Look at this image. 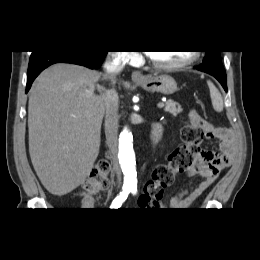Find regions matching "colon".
I'll return each mask as SVG.
<instances>
[{"label": "colon", "instance_id": "5ec220e1", "mask_svg": "<svg viewBox=\"0 0 260 260\" xmlns=\"http://www.w3.org/2000/svg\"><path fill=\"white\" fill-rule=\"evenodd\" d=\"M204 138V133L190 119L182 130L183 146L176 149L169 156L167 163L158 165L154 169L151 179L145 185L143 195L153 205L161 199L164 190L173 183L175 176L192 166ZM109 177L110 163L108 160L103 159L95 165L85 181L82 192L83 198L88 200L91 194L106 189L109 186Z\"/></svg>", "mask_w": 260, "mask_h": 260}]
</instances>
